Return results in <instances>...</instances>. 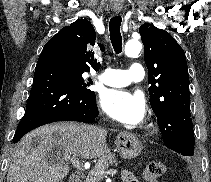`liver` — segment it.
<instances>
[{
	"label": "liver",
	"instance_id": "obj_1",
	"mask_svg": "<svg viewBox=\"0 0 211 182\" xmlns=\"http://www.w3.org/2000/svg\"><path fill=\"white\" fill-rule=\"evenodd\" d=\"M56 136H55V135ZM107 130L80 123L45 125L25 135L10 153L7 182H59L70 171L67 155L83 159L108 153ZM39 137V144L32 139ZM58 148L60 155L49 160Z\"/></svg>",
	"mask_w": 211,
	"mask_h": 182
}]
</instances>
